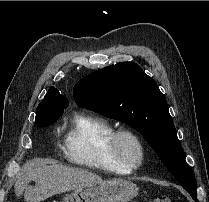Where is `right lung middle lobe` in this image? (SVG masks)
I'll return each instance as SVG.
<instances>
[{
	"mask_svg": "<svg viewBox=\"0 0 209 202\" xmlns=\"http://www.w3.org/2000/svg\"><path fill=\"white\" fill-rule=\"evenodd\" d=\"M64 109L65 108L49 107V104H39L36 110V123L42 127L49 126L59 119Z\"/></svg>",
	"mask_w": 209,
	"mask_h": 202,
	"instance_id": "right-lung-middle-lobe-1",
	"label": "right lung middle lobe"
}]
</instances>
